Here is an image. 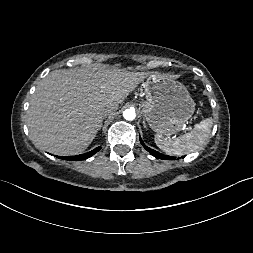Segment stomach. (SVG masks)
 <instances>
[{
	"label": "stomach",
	"instance_id": "obj_1",
	"mask_svg": "<svg viewBox=\"0 0 253 253\" xmlns=\"http://www.w3.org/2000/svg\"><path fill=\"white\" fill-rule=\"evenodd\" d=\"M143 88L146 100L141 103V109L157 134H175L192 117L195 103L182 83L167 76L149 74Z\"/></svg>",
	"mask_w": 253,
	"mask_h": 253
}]
</instances>
